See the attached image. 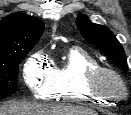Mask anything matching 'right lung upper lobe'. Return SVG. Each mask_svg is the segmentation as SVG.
Segmentation results:
<instances>
[{
    "label": "right lung upper lobe",
    "mask_w": 131,
    "mask_h": 115,
    "mask_svg": "<svg viewBox=\"0 0 131 115\" xmlns=\"http://www.w3.org/2000/svg\"><path fill=\"white\" fill-rule=\"evenodd\" d=\"M44 24L24 13H13L0 21V62L12 54L32 49L40 39Z\"/></svg>",
    "instance_id": "right-lung-upper-lobe-1"
}]
</instances>
